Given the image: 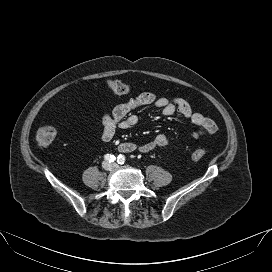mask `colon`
Wrapping results in <instances>:
<instances>
[{"instance_id":"1","label":"colon","mask_w":272,"mask_h":272,"mask_svg":"<svg viewBox=\"0 0 272 272\" xmlns=\"http://www.w3.org/2000/svg\"><path fill=\"white\" fill-rule=\"evenodd\" d=\"M109 89L116 94H127L130 91V87L127 83L117 80L110 79L107 81ZM56 138V129L51 125L41 126L35 135L36 143L40 146H48L53 143ZM207 154L205 149H198L191 153V160L194 162L200 161Z\"/></svg>"}]
</instances>
